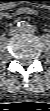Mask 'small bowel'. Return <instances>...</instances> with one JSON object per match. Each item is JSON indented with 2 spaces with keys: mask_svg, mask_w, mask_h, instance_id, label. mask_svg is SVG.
<instances>
[{
  "mask_svg": "<svg viewBox=\"0 0 50 111\" xmlns=\"http://www.w3.org/2000/svg\"><path fill=\"white\" fill-rule=\"evenodd\" d=\"M22 14H37V11L28 8V7H21L19 9H17L13 14H4L3 17L6 19H10L12 16H16V15H22Z\"/></svg>",
  "mask_w": 50,
  "mask_h": 111,
  "instance_id": "1",
  "label": "small bowel"
}]
</instances>
